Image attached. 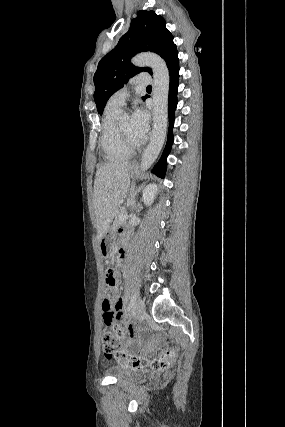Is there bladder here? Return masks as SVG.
<instances>
[{"instance_id": "1", "label": "bladder", "mask_w": 285, "mask_h": 427, "mask_svg": "<svg viewBox=\"0 0 285 427\" xmlns=\"http://www.w3.org/2000/svg\"><path fill=\"white\" fill-rule=\"evenodd\" d=\"M106 372L118 380L132 379L135 381H145L149 374L143 371L128 372L119 366H109Z\"/></svg>"}]
</instances>
